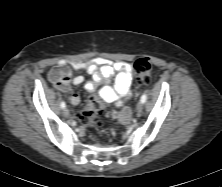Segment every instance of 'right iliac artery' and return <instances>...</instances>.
Returning <instances> with one entry per match:
<instances>
[{"instance_id":"1","label":"right iliac artery","mask_w":222,"mask_h":187,"mask_svg":"<svg viewBox=\"0 0 222 187\" xmlns=\"http://www.w3.org/2000/svg\"><path fill=\"white\" fill-rule=\"evenodd\" d=\"M60 106H61L62 109H64L66 107L65 102H61Z\"/></svg>"}]
</instances>
